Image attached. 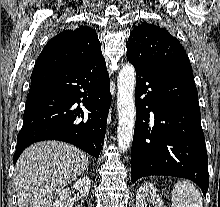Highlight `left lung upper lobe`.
<instances>
[{
    "mask_svg": "<svg viewBox=\"0 0 220 207\" xmlns=\"http://www.w3.org/2000/svg\"><path fill=\"white\" fill-rule=\"evenodd\" d=\"M127 56L152 70L180 68L192 72L189 58L180 44L166 29L143 22L130 33Z\"/></svg>",
    "mask_w": 220,
    "mask_h": 207,
    "instance_id": "left-lung-upper-lobe-1",
    "label": "left lung upper lobe"
}]
</instances>
